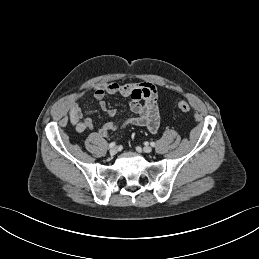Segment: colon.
Returning <instances> with one entry per match:
<instances>
[{
  "instance_id": "colon-1",
  "label": "colon",
  "mask_w": 259,
  "mask_h": 259,
  "mask_svg": "<svg viewBox=\"0 0 259 259\" xmlns=\"http://www.w3.org/2000/svg\"><path fill=\"white\" fill-rule=\"evenodd\" d=\"M178 108L183 112H187L190 110V105L188 102L182 100L178 102Z\"/></svg>"
}]
</instances>
